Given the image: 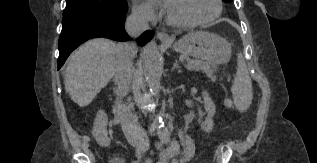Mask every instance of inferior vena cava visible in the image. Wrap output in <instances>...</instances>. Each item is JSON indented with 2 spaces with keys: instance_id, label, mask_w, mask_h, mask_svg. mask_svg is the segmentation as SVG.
<instances>
[{
  "instance_id": "602c4592",
  "label": "inferior vena cava",
  "mask_w": 317,
  "mask_h": 163,
  "mask_svg": "<svg viewBox=\"0 0 317 163\" xmlns=\"http://www.w3.org/2000/svg\"><path fill=\"white\" fill-rule=\"evenodd\" d=\"M149 15L143 10H133L125 23V30L133 38L140 36L148 30ZM135 55V45L133 43L120 44L119 54L116 61L114 81L116 88V105L113 112L120 120L124 135L133 147L141 152L148 151L150 147L149 139L144 129L139 125L137 118L132 114L128 105L122 99L129 91L132 59Z\"/></svg>"
}]
</instances>
